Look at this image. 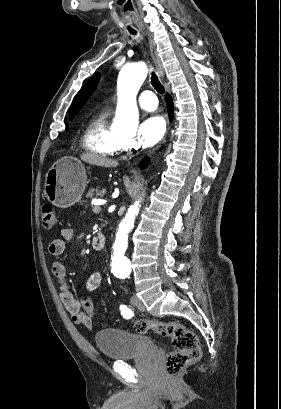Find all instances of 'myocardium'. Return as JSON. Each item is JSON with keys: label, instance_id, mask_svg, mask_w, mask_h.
I'll use <instances>...</instances> for the list:
<instances>
[{"label": "myocardium", "instance_id": "myocardium-1", "mask_svg": "<svg viewBox=\"0 0 281 409\" xmlns=\"http://www.w3.org/2000/svg\"><path fill=\"white\" fill-rule=\"evenodd\" d=\"M117 135H118V134H117ZM118 137H119V140H120L121 144L125 143L126 140H127V138L124 137V136L118 135Z\"/></svg>", "mask_w": 281, "mask_h": 409}]
</instances>
